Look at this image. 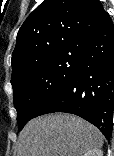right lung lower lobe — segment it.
Here are the masks:
<instances>
[{
  "label": "right lung lower lobe",
  "mask_w": 114,
  "mask_h": 156,
  "mask_svg": "<svg viewBox=\"0 0 114 156\" xmlns=\"http://www.w3.org/2000/svg\"><path fill=\"white\" fill-rule=\"evenodd\" d=\"M79 45L83 58L73 79L38 116L52 112L78 115L109 140L114 110V24L110 16Z\"/></svg>",
  "instance_id": "obj_1"
}]
</instances>
